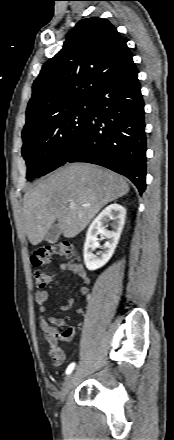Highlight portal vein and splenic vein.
Masks as SVG:
<instances>
[{"mask_svg":"<svg viewBox=\"0 0 174 440\" xmlns=\"http://www.w3.org/2000/svg\"><path fill=\"white\" fill-rule=\"evenodd\" d=\"M83 206H89V205H88V204H85V205H83ZM70 207H71V208H74V207H75V203H74V202H71V203H70Z\"/></svg>","mask_w":174,"mask_h":440,"instance_id":"obj_1","label":"portal vein and splenic vein"}]
</instances>
